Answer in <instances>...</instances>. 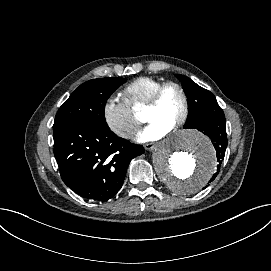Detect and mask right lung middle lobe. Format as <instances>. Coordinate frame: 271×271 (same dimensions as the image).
Here are the masks:
<instances>
[{
    "mask_svg": "<svg viewBox=\"0 0 271 271\" xmlns=\"http://www.w3.org/2000/svg\"><path fill=\"white\" fill-rule=\"evenodd\" d=\"M124 78H100L80 85L59 108L53 131L68 124L84 122L107 126L104 109L110 95L122 85Z\"/></svg>",
    "mask_w": 271,
    "mask_h": 271,
    "instance_id": "obj_1",
    "label": "right lung middle lobe"
}]
</instances>
